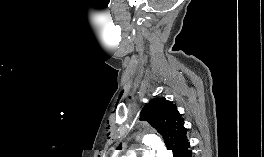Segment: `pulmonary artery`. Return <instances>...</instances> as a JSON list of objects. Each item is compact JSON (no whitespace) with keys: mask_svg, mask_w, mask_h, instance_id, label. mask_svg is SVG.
I'll return each instance as SVG.
<instances>
[{"mask_svg":"<svg viewBox=\"0 0 264 157\" xmlns=\"http://www.w3.org/2000/svg\"><path fill=\"white\" fill-rule=\"evenodd\" d=\"M142 157H153L152 153L150 151H144Z\"/></svg>","mask_w":264,"mask_h":157,"instance_id":"1","label":"pulmonary artery"}]
</instances>
